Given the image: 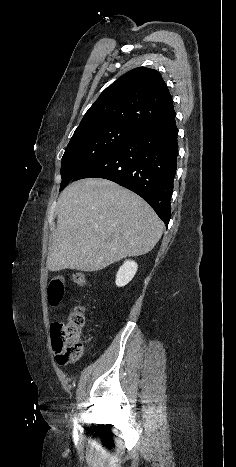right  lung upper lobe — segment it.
I'll use <instances>...</instances> for the list:
<instances>
[{"mask_svg": "<svg viewBox=\"0 0 236 467\" xmlns=\"http://www.w3.org/2000/svg\"><path fill=\"white\" fill-rule=\"evenodd\" d=\"M173 112V101L160 73L139 67L122 75L101 93L74 133L106 125L138 131Z\"/></svg>", "mask_w": 236, "mask_h": 467, "instance_id": "1", "label": "right lung upper lobe"}]
</instances>
